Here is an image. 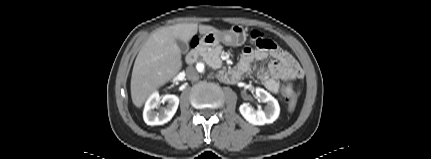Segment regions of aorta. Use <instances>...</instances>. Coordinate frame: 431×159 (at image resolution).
Here are the masks:
<instances>
[{
    "instance_id": "aorta-1",
    "label": "aorta",
    "mask_w": 431,
    "mask_h": 159,
    "mask_svg": "<svg viewBox=\"0 0 431 159\" xmlns=\"http://www.w3.org/2000/svg\"><path fill=\"white\" fill-rule=\"evenodd\" d=\"M197 72L201 75H206L209 72V67L204 62L197 63Z\"/></svg>"
}]
</instances>
